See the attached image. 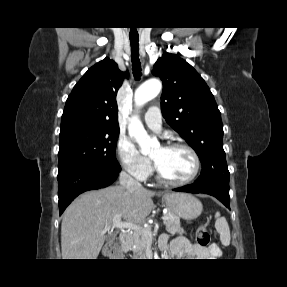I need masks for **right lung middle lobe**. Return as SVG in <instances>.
I'll use <instances>...</instances> for the list:
<instances>
[{
  "instance_id": "obj_1",
  "label": "right lung middle lobe",
  "mask_w": 287,
  "mask_h": 287,
  "mask_svg": "<svg viewBox=\"0 0 287 287\" xmlns=\"http://www.w3.org/2000/svg\"><path fill=\"white\" fill-rule=\"evenodd\" d=\"M119 129L76 124L60 131L58 173L76 166L119 172L115 149Z\"/></svg>"
}]
</instances>
